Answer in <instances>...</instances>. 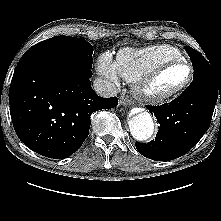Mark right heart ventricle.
I'll list each match as a JSON object with an SVG mask.
<instances>
[{"mask_svg": "<svg viewBox=\"0 0 221 221\" xmlns=\"http://www.w3.org/2000/svg\"><path fill=\"white\" fill-rule=\"evenodd\" d=\"M184 59L181 51L169 45H154L141 49L124 48L116 57L115 66L120 77L137 82L158 66Z\"/></svg>", "mask_w": 221, "mask_h": 221, "instance_id": "right-heart-ventricle-1", "label": "right heart ventricle"}]
</instances>
